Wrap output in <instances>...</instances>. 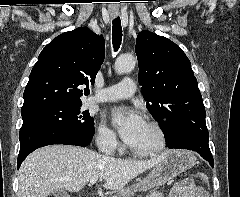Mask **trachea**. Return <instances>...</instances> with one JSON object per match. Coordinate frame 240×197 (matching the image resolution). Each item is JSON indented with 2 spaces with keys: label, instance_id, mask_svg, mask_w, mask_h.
Wrapping results in <instances>:
<instances>
[{
  "label": "trachea",
  "instance_id": "obj_1",
  "mask_svg": "<svg viewBox=\"0 0 240 197\" xmlns=\"http://www.w3.org/2000/svg\"><path fill=\"white\" fill-rule=\"evenodd\" d=\"M122 42V27L120 18L117 17L113 20L112 27V44L115 51H117Z\"/></svg>",
  "mask_w": 240,
  "mask_h": 197
}]
</instances>
